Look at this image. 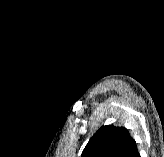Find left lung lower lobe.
Segmentation results:
<instances>
[{"mask_svg":"<svg viewBox=\"0 0 164 157\" xmlns=\"http://www.w3.org/2000/svg\"><path fill=\"white\" fill-rule=\"evenodd\" d=\"M127 157H140V154L138 153V150H137L136 143L132 147V149H131V151H130V153L128 154Z\"/></svg>","mask_w":164,"mask_h":157,"instance_id":"left-lung-lower-lobe-1","label":"left lung lower lobe"}]
</instances>
